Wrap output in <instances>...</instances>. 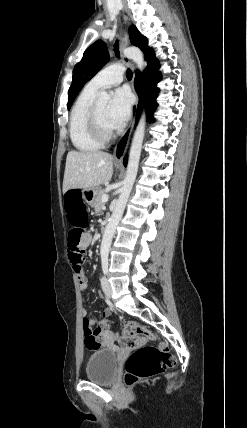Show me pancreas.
<instances>
[{"mask_svg": "<svg viewBox=\"0 0 247 428\" xmlns=\"http://www.w3.org/2000/svg\"><path fill=\"white\" fill-rule=\"evenodd\" d=\"M103 195H106L105 189H102V188L98 189L95 201L92 205L94 207L96 213H99L104 206V203L102 202V196Z\"/></svg>", "mask_w": 247, "mask_h": 428, "instance_id": "1", "label": "pancreas"}]
</instances>
